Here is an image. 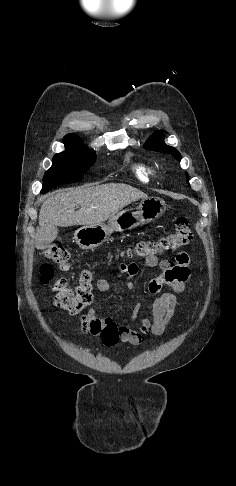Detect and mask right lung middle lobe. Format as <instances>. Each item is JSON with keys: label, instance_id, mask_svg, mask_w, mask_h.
Returning a JSON list of instances; mask_svg holds the SVG:
<instances>
[{"label": "right lung middle lobe", "instance_id": "dd1d6c3e", "mask_svg": "<svg viewBox=\"0 0 236 486\" xmlns=\"http://www.w3.org/2000/svg\"><path fill=\"white\" fill-rule=\"evenodd\" d=\"M64 144L66 151L53 157V165L45 174L41 193H46L58 185L80 181L95 162V152L84 144L65 141Z\"/></svg>", "mask_w": 236, "mask_h": 486}]
</instances>
